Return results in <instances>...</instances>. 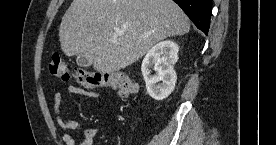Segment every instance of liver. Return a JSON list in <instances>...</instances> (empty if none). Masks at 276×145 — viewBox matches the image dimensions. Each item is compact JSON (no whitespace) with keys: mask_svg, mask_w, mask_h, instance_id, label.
Returning <instances> with one entry per match:
<instances>
[{"mask_svg":"<svg viewBox=\"0 0 276 145\" xmlns=\"http://www.w3.org/2000/svg\"><path fill=\"white\" fill-rule=\"evenodd\" d=\"M189 30L188 17L173 0H73L62 17L59 40L67 56L82 53L94 70L115 73L157 42Z\"/></svg>","mask_w":276,"mask_h":145,"instance_id":"6515ba94","label":"liver"}]
</instances>
